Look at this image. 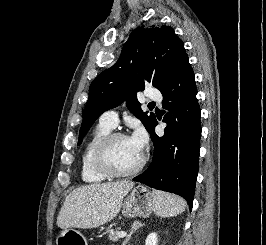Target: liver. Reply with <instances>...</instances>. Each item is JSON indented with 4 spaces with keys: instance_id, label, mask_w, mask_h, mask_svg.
<instances>
[{
    "instance_id": "1",
    "label": "liver",
    "mask_w": 266,
    "mask_h": 245,
    "mask_svg": "<svg viewBox=\"0 0 266 245\" xmlns=\"http://www.w3.org/2000/svg\"><path fill=\"white\" fill-rule=\"evenodd\" d=\"M134 183H100L74 189L58 215L60 229H94L112 221L120 213L121 203Z\"/></svg>"
}]
</instances>
